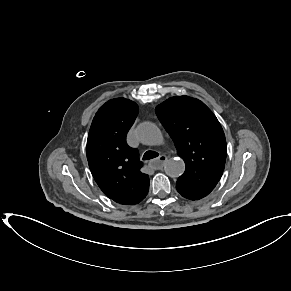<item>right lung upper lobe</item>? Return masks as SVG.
Masks as SVG:
<instances>
[{"mask_svg": "<svg viewBox=\"0 0 291 291\" xmlns=\"http://www.w3.org/2000/svg\"><path fill=\"white\" fill-rule=\"evenodd\" d=\"M137 113V104L129 99L109 100L93 118L87 139V160L96 183L123 205L138 204L149 190V177L140 171L139 152L126 143Z\"/></svg>", "mask_w": 291, "mask_h": 291, "instance_id": "obj_1", "label": "right lung upper lobe"}]
</instances>
